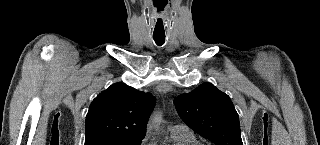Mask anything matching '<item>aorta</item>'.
<instances>
[{
  "instance_id": "762f6f07",
  "label": "aorta",
  "mask_w": 320,
  "mask_h": 145,
  "mask_svg": "<svg viewBox=\"0 0 320 145\" xmlns=\"http://www.w3.org/2000/svg\"><path fill=\"white\" fill-rule=\"evenodd\" d=\"M159 116H154L149 124L150 128L158 129L159 128Z\"/></svg>"
}]
</instances>
